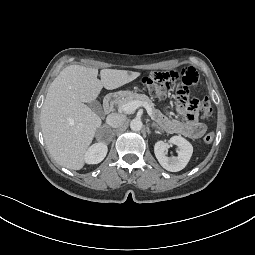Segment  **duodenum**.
Here are the masks:
<instances>
[{
	"mask_svg": "<svg viewBox=\"0 0 255 255\" xmlns=\"http://www.w3.org/2000/svg\"><path fill=\"white\" fill-rule=\"evenodd\" d=\"M121 96H122V93H120V92L113 93V94L106 96L103 101L104 111L106 113H110L113 110L117 101L121 98Z\"/></svg>",
	"mask_w": 255,
	"mask_h": 255,
	"instance_id": "410a0bca",
	"label": "duodenum"
}]
</instances>
